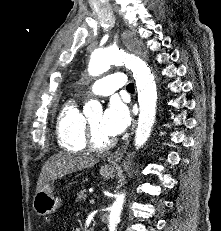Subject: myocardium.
<instances>
[{
  "instance_id": "1",
  "label": "myocardium",
  "mask_w": 221,
  "mask_h": 231,
  "mask_svg": "<svg viewBox=\"0 0 221 231\" xmlns=\"http://www.w3.org/2000/svg\"><path fill=\"white\" fill-rule=\"evenodd\" d=\"M84 137H85L86 146L90 150L95 151V152L107 151L111 149L112 147H114V145L116 144L115 139H112L109 142H106L104 144L97 143L88 118H85L84 120Z\"/></svg>"
}]
</instances>
